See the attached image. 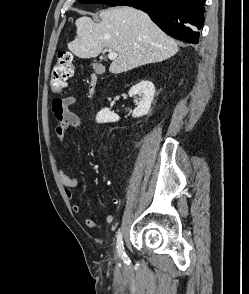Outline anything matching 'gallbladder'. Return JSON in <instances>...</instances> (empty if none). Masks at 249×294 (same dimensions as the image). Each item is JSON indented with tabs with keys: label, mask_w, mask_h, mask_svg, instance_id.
Returning <instances> with one entry per match:
<instances>
[{
	"label": "gallbladder",
	"mask_w": 249,
	"mask_h": 294,
	"mask_svg": "<svg viewBox=\"0 0 249 294\" xmlns=\"http://www.w3.org/2000/svg\"><path fill=\"white\" fill-rule=\"evenodd\" d=\"M92 67L97 74H102L105 71V68L101 64L96 62L92 63Z\"/></svg>",
	"instance_id": "obj_1"
}]
</instances>
